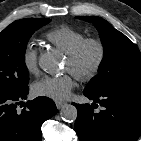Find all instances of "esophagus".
I'll return each instance as SVG.
<instances>
[{
    "label": "esophagus",
    "mask_w": 141,
    "mask_h": 141,
    "mask_svg": "<svg viewBox=\"0 0 141 141\" xmlns=\"http://www.w3.org/2000/svg\"><path fill=\"white\" fill-rule=\"evenodd\" d=\"M55 104L58 109H62L63 107L67 105L66 102H61V101H56Z\"/></svg>",
    "instance_id": "1"
}]
</instances>
